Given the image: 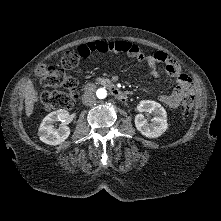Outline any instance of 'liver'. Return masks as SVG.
I'll use <instances>...</instances> for the list:
<instances>
[{"label":"liver","instance_id":"obj_1","mask_svg":"<svg viewBox=\"0 0 221 221\" xmlns=\"http://www.w3.org/2000/svg\"><path fill=\"white\" fill-rule=\"evenodd\" d=\"M38 100V93L34 88L32 81L29 79L25 84V110L29 117L33 113L34 104Z\"/></svg>","mask_w":221,"mask_h":221}]
</instances>
